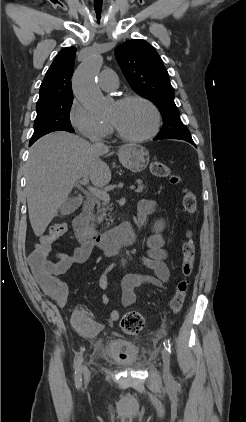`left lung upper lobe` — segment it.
I'll return each instance as SVG.
<instances>
[{
  "label": "left lung upper lobe",
  "mask_w": 246,
  "mask_h": 422,
  "mask_svg": "<svg viewBox=\"0 0 246 422\" xmlns=\"http://www.w3.org/2000/svg\"><path fill=\"white\" fill-rule=\"evenodd\" d=\"M117 62L131 88L152 101L163 118L158 139H192L180 119L174 102V89L163 61L145 40L132 39L115 49Z\"/></svg>",
  "instance_id": "1"
}]
</instances>
